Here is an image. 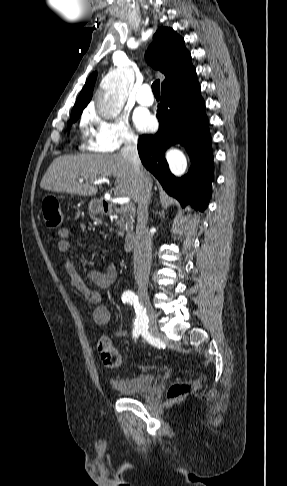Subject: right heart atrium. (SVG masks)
Here are the masks:
<instances>
[{"label": "right heart atrium", "mask_w": 287, "mask_h": 486, "mask_svg": "<svg viewBox=\"0 0 287 486\" xmlns=\"http://www.w3.org/2000/svg\"><path fill=\"white\" fill-rule=\"evenodd\" d=\"M82 125L86 131L84 147L88 151L112 153L137 143L136 135L122 116L107 119L94 109H88L82 117Z\"/></svg>", "instance_id": "1"}]
</instances>
